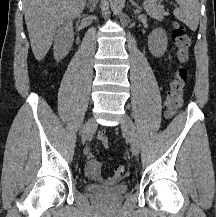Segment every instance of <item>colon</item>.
<instances>
[{
	"label": "colon",
	"instance_id": "obj_1",
	"mask_svg": "<svg viewBox=\"0 0 216 217\" xmlns=\"http://www.w3.org/2000/svg\"><path fill=\"white\" fill-rule=\"evenodd\" d=\"M173 42L177 51L178 66L174 76L170 82L169 92L166 100L168 115L172 116L183 102V90L187 79V70L185 64L189 59V48L191 37L187 28L180 24H175L172 32ZM97 139L104 145L109 143L108 133L102 129L97 133ZM125 170L123 166H117L114 171V177L120 179L124 176Z\"/></svg>",
	"mask_w": 216,
	"mask_h": 217
}]
</instances>
